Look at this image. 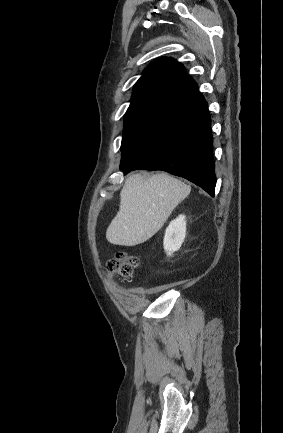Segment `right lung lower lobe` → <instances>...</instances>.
Masks as SVG:
<instances>
[{
  "mask_svg": "<svg viewBox=\"0 0 283 433\" xmlns=\"http://www.w3.org/2000/svg\"><path fill=\"white\" fill-rule=\"evenodd\" d=\"M120 169L162 170L214 196L216 177L211 119L200 93L151 120L121 154Z\"/></svg>",
  "mask_w": 283,
  "mask_h": 433,
  "instance_id": "98d812e1",
  "label": "right lung lower lobe"
}]
</instances>
